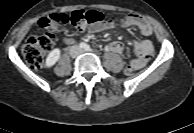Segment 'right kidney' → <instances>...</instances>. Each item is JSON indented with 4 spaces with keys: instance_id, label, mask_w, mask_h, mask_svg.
Instances as JSON below:
<instances>
[{
    "instance_id": "obj_1",
    "label": "right kidney",
    "mask_w": 194,
    "mask_h": 133,
    "mask_svg": "<svg viewBox=\"0 0 194 133\" xmlns=\"http://www.w3.org/2000/svg\"><path fill=\"white\" fill-rule=\"evenodd\" d=\"M60 58V50L58 48L53 49L50 51L48 54L46 61H45V66L47 68L52 67Z\"/></svg>"
}]
</instances>
